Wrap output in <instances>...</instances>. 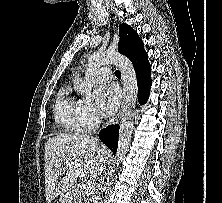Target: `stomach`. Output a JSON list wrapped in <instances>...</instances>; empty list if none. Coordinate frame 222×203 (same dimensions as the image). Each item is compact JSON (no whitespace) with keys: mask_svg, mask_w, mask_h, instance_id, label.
Wrapping results in <instances>:
<instances>
[{"mask_svg":"<svg viewBox=\"0 0 222 203\" xmlns=\"http://www.w3.org/2000/svg\"><path fill=\"white\" fill-rule=\"evenodd\" d=\"M63 200L65 201L64 203H70V198L67 196H64Z\"/></svg>","mask_w":222,"mask_h":203,"instance_id":"0dacf381","label":"stomach"}]
</instances>
